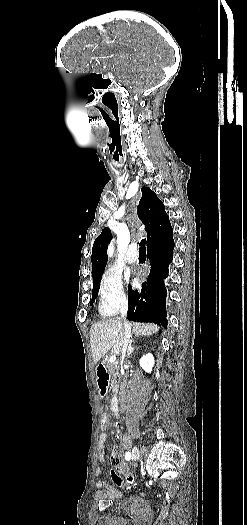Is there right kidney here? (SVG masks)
Instances as JSON below:
<instances>
[{
  "label": "right kidney",
  "instance_id": "right-kidney-1",
  "mask_svg": "<svg viewBox=\"0 0 247 525\" xmlns=\"http://www.w3.org/2000/svg\"><path fill=\"white\" fill-rule=\"evenodd\" d=\"M139 365L141 369H143V371H146V373H151L155 365V361H154V357L152 353H147V355H143V357H141L139 361Z\"/></svg>",
  "mask_w": 247,
  "mask_h": 525
}]
</instances>
